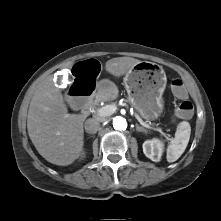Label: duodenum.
Returning a JSON list of instances; mask_svg holds the SVG:
<instances>
[{"label": "duodenum", "instance_id": "duodenum-1", "mask_svg": "<svg viewBox=\"0 0 221 221\" xmlns=\"http://www.w3.org/2000/svg\"><path fill=\"white\" fill-rule=\"evenodd\" d=\"M91 101H92V100H91ZM91 101H89V102L87 103V106L83 109L84 112H87V111H88V109H89V103H90Z\"/></svg>", "mask_w": 221, "mask_h": 221}]
</instances>
